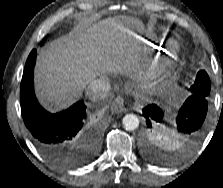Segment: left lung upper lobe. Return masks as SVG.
I'll return each instance as SVG.
<instances>
[{
  "mask_svg": "<svg viewBox=\"0 0 223 188\" xmlns=\"http://www.w3.org/2000/svg\"><path fill=\"white\" fill-rule=\"evenodd\" d=\"M210 79L206 71L201 70L197 73L196 80L191 86V93L199 97L208 98L210 94ZM145 136L149 142L144 148V156L157 164H169L178 160L188 149L177 135L157 126L146 128Z\"/></svg>",
  "mask_w": 223,
  "mask_h": 188,
  "instance_id": "left-lung-upper-lobe-1",
  "label": "left lung upper lobe"
}]
</instances>
